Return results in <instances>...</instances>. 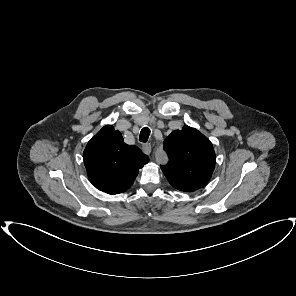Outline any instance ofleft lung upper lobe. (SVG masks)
Wrapping results in <instances>:
<instances>
[{"instance_id":"left-lung-upper-lobe-1","label":"left lung upper lobe","mask_w":296,"mask_h":296,"mask_svg":"<svg viewBox=\"0 0 296 296\" xmlns=\"http://www.w3.org/2000/svg\"><path fill=\"white\" fill-rule=\"evenodd\" d=\"M169 163L161 169L176 189L192 192L204 187L211 178L216 156L208 138L195 128L184 126L163 142Z\"/></svg>"}]
</instances>
